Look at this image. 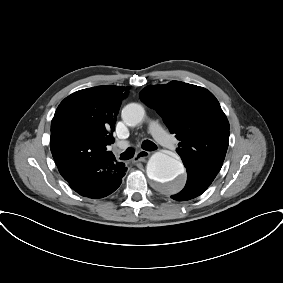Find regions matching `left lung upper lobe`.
I'll return each mask as SVG.
<instances>
[{"label": "left lung upper lobe", "mask_w": 283, "mask_h": 283, "mask_svg": "<svg viewBox=\"0 0 283 283\" xmlns=\"http://www.w3.org/2000/svg\"><path fill=\"white\" fill-rule=\"evenodd\" d=\"M140 97L163 118L180 143L177 153L188 171L214 179L229 141V122L207 89L179 81L149 85Z\"/></svg>", "instance_id": "5c2ea615"}]
</instances>
